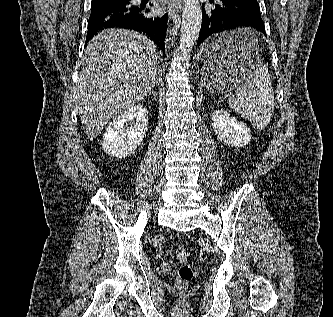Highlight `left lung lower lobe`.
Instances as JSON below:
<instances>
[{"label":"left lung lower lobe","instance_id":"obj_1","mask_svg":"<svg viewBox=\"0 0 333 317\" xmlns=\"http://www.w3.org/2000/svg\"><path fill=\"white\" fill-rule=\"evenodd\" d=\"M209 1L215 6L212 9H205L202 5V25L197 41L198 46L212 34L243 27H253L266 35L257 0ZM239 48L237 45H215L207 50L206 56L212 60L222 59L237 52Z\"/></svg>","mask_w":333,"mask_h":317}]
</instances>
